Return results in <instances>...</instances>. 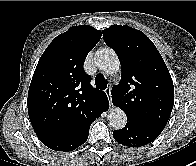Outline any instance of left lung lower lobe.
<instances>
[{
  "mask_svg": "<svg viewBox=\"0 0 196 166\" xmlns=\"http://www.w3.org/2000/svg\"><path fill=\"white\" fill-rule=\"evenodd\" d=\"M162 131L141 126L134 121L127 120L123 129L113 131L114 139L120 144L136 147L154 141Z\"/></svg>",
  "mask_w": 196,
  "mask_h": 166,
  "instance_id": "obj_1",
  "label": "left lung lower lobe"
}]
</instances>
